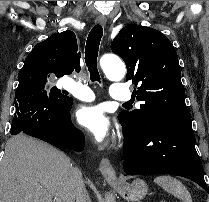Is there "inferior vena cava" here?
I'll return each instance as SVG.
<instances>
[{
	"label": "inferior vena cava",
	"mask_w": 209,
	"mask_h": 202,
	"mask_svg": "<svg viewBox=\"0 0 209 202\" xmlns=\"http://www.w3.org/2000/svg\"><path fill=\"white\" fill-rule=\"evenodd\" d=\"M75 173V199L76 202H91L85 183L82 179V173L78 168H74Z\"/></svg>",
	"instance_id": "inferior-vena-cava-1"
}]
</instances>
